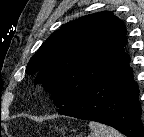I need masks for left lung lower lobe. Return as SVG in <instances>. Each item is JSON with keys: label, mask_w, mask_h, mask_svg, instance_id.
I'll return each mask as SVG.
<instances>
[{"label": "left lung lower lobe", "mask_w": 144, "mask_h": 137, "mask_svg": "<svg viewBox=\"0 0 144 137\" xmlns=\"http://www.w3.org/2000/svg\"><path fill=\"white\" fill-rule=\"evenodd\" d=\"M129 62L128 57L87 93L61 108L58 114L100 122L127 137H144L139 89Z\"/></svg>", "instance_id": "obj_1"}]
</instances>
